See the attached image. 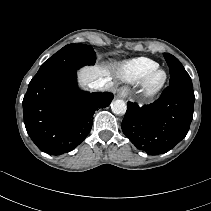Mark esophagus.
<instances>
[{"instance_id":"1","label":"esophagus","mask_w":211,"mask_h":211,"mask_svg":"<svg viewBox=\"0 0 211 211\" xmlns=\"http://www.w3.org/2000/svg\"><path fill=\"white\" fill-rule=\"evenodd\" d=\"M128 94V90L127 89H120L118 90L117 94H116V98H125Z\"/></svg>"}]
</instances>
